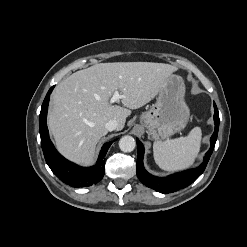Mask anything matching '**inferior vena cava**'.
I'll list each match as a JSON object with an SVG mask.
<instances>
[{
	"mask_svg": "<svg viewBox=\"0 0 247 247\" xmlns=\"http://www.w3.org/2000/svg\"><path fill=\"white\" fill-rule=\"evenodd\" d=\"M105 128L108 131H114L118 129V122L116 120H109L106 124H105Z\"/></svg>",
	"mask_w": 247,
	"mask_h": 247,
	"instance_id": "obj_1",
	"label": "inferior vena cava"
}]
</instances>
